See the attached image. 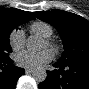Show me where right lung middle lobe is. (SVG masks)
Segmentation results:
<instances>
[{
  "label": "right lung middle lobe",
  "mask_w": 89,
  "mask_h": 89,
  "mask_svg": "<svg viewBox=\"0 0 89 89\" xmlns=\"http://www.w3.org/2000/svg\"><path fill=\"white\" fill-rule=\"evenodd\" d=\"M19 25L21 24L8 18H0V60L8 58V53L12 52L9 36L12 30Z\"/></svg>",
  "instance_id": "dd1d6c3e"
}]
</instances>
